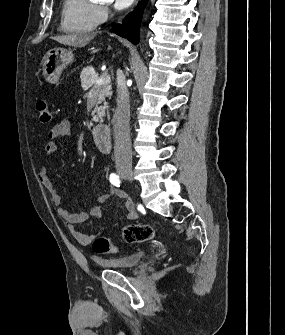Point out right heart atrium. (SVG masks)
<instances>
[{
  "label": "right heart atrium",
  "mask_w": 285,
  "mask_h": 335,
  "mask_svg": "<svg viewBox=\"0 0 285 335\" xmlns=\"http://www.w3.org/2000/svg\"><path fill=\"white\" fill-rule=\"evenodd\" d=\"M110 6L107 1H98L93 9V18L97 25L103 24L110 16Z\"/></svg>",
  "instance_id": "1"
}]
</instances>
